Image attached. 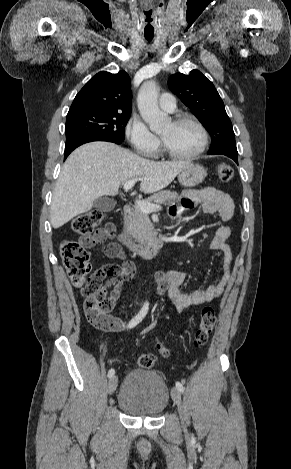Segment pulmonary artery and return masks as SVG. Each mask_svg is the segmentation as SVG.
<instances>
[{
    "mask_svg": "<svg viewBox=\"0 0 291 469\" xmlns=\"http://www.w3.org/2000/svg\"><path fill=\"white\" fill-rule=\"evenodd\" d=\"M159 106L167 112H173L176 108L175 97L170 93H163L159 99Z\"/></svg>",
    "mask_w": 291,
    "mask_h": 469,
    "instance_id": "obj_1",
    "label": "pulmonary artery"
}]
</instances>
